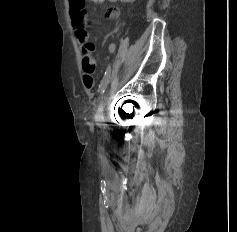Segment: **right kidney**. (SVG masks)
Instances as JSON below:
<instances>
[{
  "label": "right kidney",
  "instance_id": "ca27d5eb",
  "mask_svg": "<svg viewBox=\"0 0 237 232\" xmlns=\"http://www.w3.org/2000/svg\"><path fill=\"white\" fill-rule=\"evenodd\" d=\"M96 1V0H95ZM121 2H134L135 0H120Z\"/></svg>",
  "mask_w": 237,
  "mask_h": 232
}]
</instances>
